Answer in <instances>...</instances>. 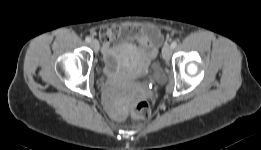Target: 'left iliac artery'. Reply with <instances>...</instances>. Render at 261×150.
<instances>
[{
    "label": "left iliac artery",
    "mask_w": 261,
    "mask_h": 150,
    "mask_svg": "<svg viewBox=\"0 0 261 150\" xmlns=\"http://www.w3.org/2000/svg\"><path fill=\"white\" fill-rule=\"evenodd\" d=\"M177 46V42L176 41H173L172 43H171V47L172 48H175Z\"/></svg>",
    "instance_id": "obj_1"
}]
</instances>
